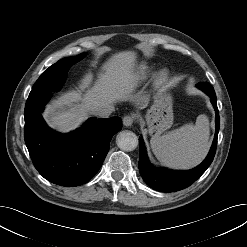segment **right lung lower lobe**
<instances>
[{
	"label": "right lung lower lobe",
	"mask_w": 247,
	"mask_h": 247,
	"mask_svg": "<svg viewBox=\"0 0 247 247\" xmlns=\"http://www.w3.org/2000/svg\"><path fill=\"white\" fill-rule=\"evenodd\" d=\"M51 95L41 99L28 97L24 113L25 143L35 168L45 179L61 186H79L102 166L111 138L122 128V120L90 118L75 132L59 134L41 116Z\"/></svg>",
	"instance_id": "right-lung-lower-lobe-1"
}]
</instances>
